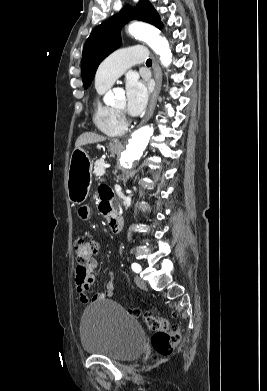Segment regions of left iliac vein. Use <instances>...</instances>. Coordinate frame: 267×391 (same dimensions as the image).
Returning a JSON list of instances; mask_svg holds the SVG:
<instances>
[{
    "label": "left iliac vein",
    "instance_id": "obj_1",
    "mask_svg": "<svg viewBox=\"0 0 267 391\" xmlns=\"http://www.w3.org/2000/svg\"><path fill=\"white\" fill-rule=\"evenodd\" d=\"M135 283L138 287L142 289L146 287L145 281L139 275L135 276Z\"/></svg>",
    "mask_w": 267,
    "mask_h": 391
}]
</instances>
